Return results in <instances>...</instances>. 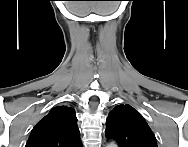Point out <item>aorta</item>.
<instances>
[{"instance_id": "762f6f07", "label": "aorta", "mask_w": 188, "mask_h": 147, "mask_svg": "<svg viewBox=\"0 0 188 147\" xmlns=\"http://www.w3.org/2000/svg\"><path fill=\"white\" fill-rule=\"evenodd\" d=\"M110 145H111V146H115V144H114V143H111Z\"/></svg>"}]
</instances>
